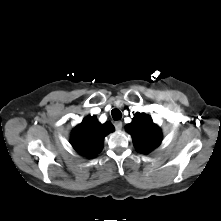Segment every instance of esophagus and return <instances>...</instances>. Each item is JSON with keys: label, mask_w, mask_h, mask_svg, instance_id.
<instances>
[{"label": "esophagus", "mask_w": 221, "mask_h": 221, "mask_svg": "<svg viewBox=\"0 0 221 221\" xmlns=\"http://www.w3.org/2000/svg\"><path fill=\"white\" fill-rule=\"evenodd\" d=\"M114 126H115L116 130H121L123 124H122L121 121H117V122L114 123Z\"/></svg>", "instance_id": "1"}]
</instances>
